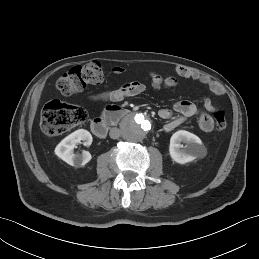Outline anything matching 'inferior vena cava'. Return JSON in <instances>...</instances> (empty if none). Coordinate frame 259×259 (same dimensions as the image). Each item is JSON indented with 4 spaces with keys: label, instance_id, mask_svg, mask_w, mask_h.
Instances as JSON below:
<instances>
[{
    "label": "inferior vena cava",
    "instance_id": "obj_1",
    "mask_svg": "<svg viewBox=\"0 0 259 259\" xmlns=\"http://www.w3.org/2000/svg\"><path fill=\"white\" fill-rule=\"evenodd\" d=\"M121 134H122V132H121V130L118 129V128H112V129L110 130V133H109V135H110V137H111L112 139H118V138L121 136Z\"/></svg>",
    "mask_w": 259,
    "mask_h": 259
}]
</instances>
